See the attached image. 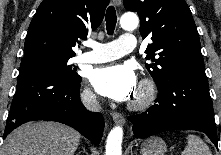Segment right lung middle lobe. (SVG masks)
I'll use <instances>...</instances> for the list:
<instances>
[{
    "instance_id": "obj_1",
    "label": "right lung middle lobe",
    "mask_w": 221,
    "mask_h": 155,
    "mask_svg": "<svg viewBox=\"0 0 221 155\" xmlns=\"http://www.w3.org/2000/svg\"><path fill=\"white\" fill-rule=\"evenodd\" d=\"M70 58L50 53L26 55L21 61L20 70L28 66L40 67L55 73L63 80L76 81L81 77L75 72L76 68L70 64Z\"/></svg>"
}]
</instances>
